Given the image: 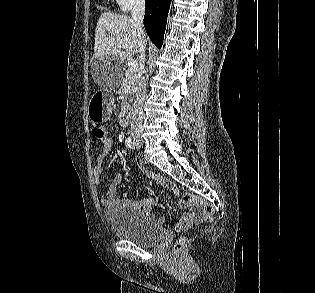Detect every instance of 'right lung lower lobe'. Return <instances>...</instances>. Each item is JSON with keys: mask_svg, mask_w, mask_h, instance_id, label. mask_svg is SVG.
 Wrapping results in <instances>:
<instances>
[{"mask_svg": "<svg viewBox=\"0 0 315 293\" xmlns=\"http://www.w3.org/2000/svg\"><path fill=\"white\" fill-rule=\"evenodd\" d=\"M171 0H146L145 30L152 42L161 48Z\"/></svg>", "mask_w": 315, "mask_h": 293, "instance_id": "right-lung-lower-lobe-1", "label": "right lung lower lobe"}]
</instances>
